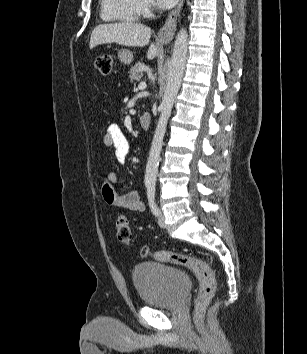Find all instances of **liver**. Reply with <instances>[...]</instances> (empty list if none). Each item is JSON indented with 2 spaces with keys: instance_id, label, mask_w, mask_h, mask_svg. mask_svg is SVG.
<instances>
[{
  "instance_id": "obj_1",
  "label": "liver",
  "mask_w": 307,
  "mask_h": 354,
  "mask_svg": "<svg viewBox=\"0 0 307 354\" xmlns=\"http://www.w3.org/2000/svg\"><path fill=\"white\" fill-rule=\"evenodd\" d=\"M151 34V29L140 23L120 22L102 24L98 25L93 30L89 47L93 49L98 45L111 43L131 47H143L149 43ZM158 47V43H152L150 45L147 52V58L149 60L157 56Z\"/></svg>"
}]
</instances>
